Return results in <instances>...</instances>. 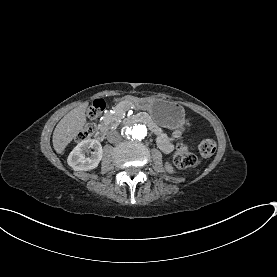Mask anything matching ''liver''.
Returning a JSON list of instances; mask_svg holds the SVG:
<instances>
[{"label": "liver", "mask_w": 277, "mask_h": 277, "mask_svg": "<svg viewBox=\"0 0 277 277\" xmlns=\"http://www.w3.org/2000/svg\"><path fill=\"white\" fill-rule=\"evenodd\" d=\"M89 102H84L68 112L56 125L52 143L57 154H62L71 141L78 136L87 123L86 110Z\"/></svg>", "instance_id": "6515ba94"}]
</instances>
